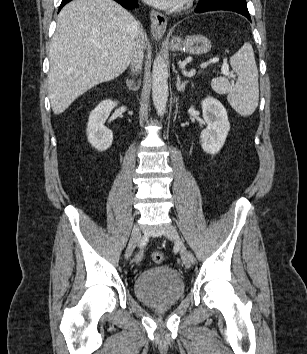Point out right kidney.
<instances>
[{"instance_id":"1","label":"right kidney","mask_w":307,"mask_h":354,"mask_svg":"<svg viewBox=\"0 0 307 354\" xmlns=\"http://www.w3.org/2000/svg\"><path fill=\"white\" fill-rule=\"evenodd\" d=\"M116 105V101L103 100L89 115L87 138L92 147L98 151H105L112 145L113 133L104 126V123Z\"/></svg>"}]
</instances>
